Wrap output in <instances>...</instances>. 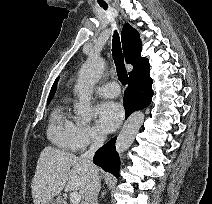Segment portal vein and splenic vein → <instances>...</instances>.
<instances>
[{
    "label": "portal vein and splenic vein",
    "mask_w": 212,
    "mask_h": 204,
    "mask_svg": "<svg viewBox=\"0 0 212 204\" xmlns=\"http://www.w3.org/2000/svg\"><path fill=\"white\" fill-rule=\"evenodd\" d=\"M81 201V195L78 192L70 193V202L71 204H79Z\"/></svg>",
    "instance_id": "1"
}]
</instances>
